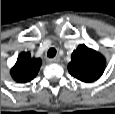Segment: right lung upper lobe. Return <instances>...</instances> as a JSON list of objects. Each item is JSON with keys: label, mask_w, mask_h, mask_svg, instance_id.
<instances>
[{"label": "right lung upper lobe", "mask_w": 115, "mask_h": 114, "mask_svg": "<svg viewBox=\"0 0 115 114\" xmlns=\"http://www.w3.org/2000/svg\"><path fill=\"white\" fill-rule=\"evenodd\" d=\"M41 64L40 58H32L29 52H22L11 69V76L17 82H29L36 77Z\"/></svg>", "instance_id": "1"}]
</instances>
